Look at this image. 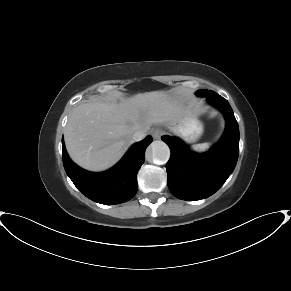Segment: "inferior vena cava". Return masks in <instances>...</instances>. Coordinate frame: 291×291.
<instances>
[{"label": "inferior vena cava", "mask_w": 291, "mask_h": 291, "mask_svg": "<svg viewBox=\"0 0 291 291\" xmlns=\"http://www.w3.org/2000/svg\"><path fill=\"white\" fill-rule=\"evenodd\" d=\"M146 137V132L144 131H136L132 138H133V141H141L142 139H144Z\"/></svg>", "instance_id": "inferior-vena-cava-1"}]
</instances>
